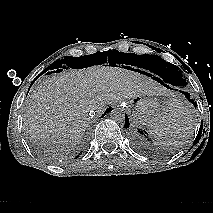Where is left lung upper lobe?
Listing matches in <instances>:
<instances>
[{"label": "left lung upper lobe", "mask_w": 213, "mask_h": 213, "mask_svg": "<svg viewBox=\"0 0 213 213\" xmlns=\"http://www.w3.org/2000/svg\"><path fill=\"white\" fill-rule=\"evenodd\" d=\"M139 62L138 65L145 69L166 75L174 83V86L184 87L186 85V80L180 68L166 62L157 55H141Z\"/></svg>", "instance_id": "obj_1"}]
</instances>
